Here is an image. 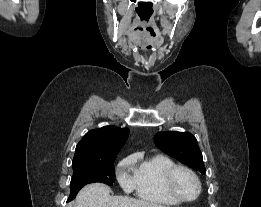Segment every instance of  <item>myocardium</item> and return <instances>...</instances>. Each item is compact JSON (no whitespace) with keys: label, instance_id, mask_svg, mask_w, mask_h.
<instances>
[{"label":"myocardium","instance_id":"1","mask_svg":"<svg viewBox=\"0 0 261 207\" xmlns=\"http://www.w3.org/2000/svg\"><path fill=\"white\" fill-rule=\"evenodd\" d=\"M179 171H184V172L188 173L195 180V182L197 184V193L193 198H190V199L184 198L176 190L175 185H174V180H175L176 174ZM164 184H165V188H166L167 192L174 199H176L177 201L182 202V203H189V202L195 201L201 194V190H202L201 181H200L199 177L197 176V174L192 169H190L189 167L184 166V165H174L173 167L168 169L165 174V177H164Z\"/></svg>","mask_w":261,"mask_h":207}]
</instances>
